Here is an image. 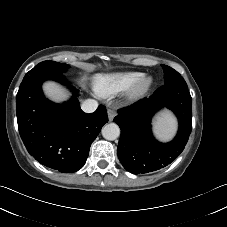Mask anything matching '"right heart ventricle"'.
I'll return each instance as SVG.
<instances>
[{"instance_id":"1","label":"right heart ventricle","mask_w":227,"mask_h":227,"mask_svg":"<svg viewBox=\"0 0 227 227\" xmlns=\"http://www.w3.org/2000/svg\"><path fill=\"white\" fill-rule=\"evenodd\" d=\"M142 76L143 73L139 71L99 75L94 80V86L101 95L111 96L130 90Z\"/></svg>"}]
</instances>
